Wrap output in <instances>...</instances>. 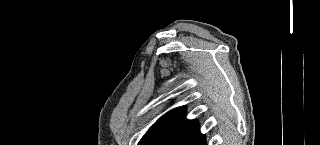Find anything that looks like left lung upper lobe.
Returning a JSON list of instances; mask_svg holds the SVG:
<instances>
[{"mask_svg": "<svg viewBox=\"0 0 320 145\" xmlns=\"http://www.w3.org/2000/svg\"><path fill=\"white\" fill-rule=\"evenodd\" d=\"M197 129L196 121L185 118V107H178L153 124L138 145H179L187 135Z\"/></svg>", "mask_w": 320, "mask_h": 145, "instance_id": "1", "label": "left lung upper lobe"}]
</instances>
